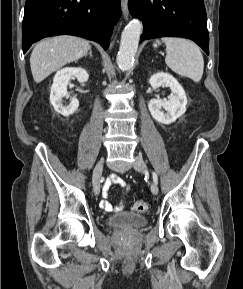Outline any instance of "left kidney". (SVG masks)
<instances>
[{
	"label": "left kidney",
	"instance_id": "1",
	"mask_svg": "<svg viewBox=\"0 0 243 289\" xmlns=\"http://www.w3.org/2000/svg\"><path fill=\"white\" fill-rule=\"evenodd\" d=\"M149 83L153 89H158L160 86H169L172 91L168 101L161 99H151L149 101L148 108L152 117L163 124L175 122L186 111L187 98L184 89L173 76L163 72L152 75Z\"/></svg>",
	"mask_w": 243,
	"mask_h": 289
}]
</instances>
